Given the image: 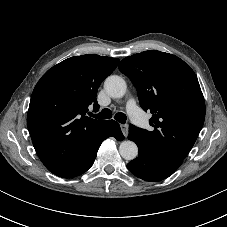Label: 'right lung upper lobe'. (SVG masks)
Instances as JSON below:
<instances>
[{
    "mask_svg": "<svg viewBox=\"0 0 227 227\" xmlns=\"http://www.w3.org/2000/svg\"><path fill=\"white\" fill-rule=\"evenodd\" d=\"M118 62L95 54L70 57L36 84L27 125L37 155L53 174L70 165L109 124L87 113L90 106L99 108L97 90Z\"/></svg>",
    "mask_w": 227,
    "mask_h": 227,
    "instance_id": "right-lung-upper-lobe-1",
    "label": "right lung upper lobe"
}]
</instances>
